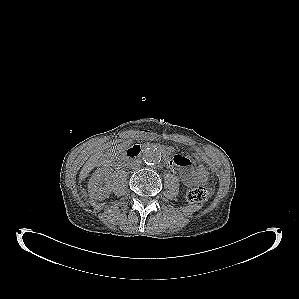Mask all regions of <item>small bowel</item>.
<instances>
[{
	"instance_id": "c3829d8e",
	"label": "small bowel",
	"mask_w": 299,
	"mask_h": 299,
	"mask_svg": "<svg viewBox=\"0 0 299 299\" xmlns=\"http://www.w3.org/2000/svg\"><path fill=\"white\" fill-rule=\"evenodd\" d=\"M171 166H177L179 168L182 182L185 185L191 186L196 183L193 176V171L190 169V161L187 157L182 155H175L172 159Z\"/></svg>"
}]
</instances>
